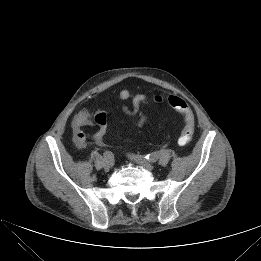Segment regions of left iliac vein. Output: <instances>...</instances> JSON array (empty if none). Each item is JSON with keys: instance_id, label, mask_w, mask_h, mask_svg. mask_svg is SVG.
<instances>
[{"instance_id": "1", "label": "left iliac vein", "mask_w": 261, "mask_h": 261, "mask_svg": "<svg viewBox=\"0 0 261 261\" xmlns=\"http://www.w3.org/2000/svg\"><path fill=\"white\" fill-rule=\"evenodd\" d=\"M132 159L146 170H152L153 164L144 160L141 156H133Z\"/></svg>"}]
</instances>
